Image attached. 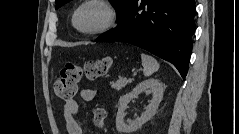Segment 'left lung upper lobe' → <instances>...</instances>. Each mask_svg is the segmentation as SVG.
Masks as SVG:
<instances>
[{"label": "left lung upper lobe", "mask_w": 239, "mask_h": 134, "mask_svg": "<svg viewBox=\"0 0 239 134\" xmlns=\"http://www.w3.org/2000/svg\"><path fill=\"white\" fill-rule=\"evenodd\" d=\"M70 0H56V9L60 8L65 3L69 2ZM134 0H110L112 6L115 8L117 12L118 22L122 19L124 14L126 13L127 9L129 8L130 4Z\"/></svg>", "instance_id": "left-lung-upper-lobe-1"}]
</instances>
